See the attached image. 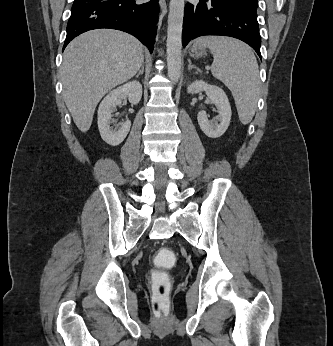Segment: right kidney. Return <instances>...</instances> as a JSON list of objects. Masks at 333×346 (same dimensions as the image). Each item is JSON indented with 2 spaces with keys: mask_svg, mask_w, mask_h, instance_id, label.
<instances>
[{
  "mask_svg": "<svg viewBox=\"0 0 333 346\" xmlns=\"http://www.w3.org/2000/svg\"><path fill=\"white\" fill-rule=\"evenodd\" d=\"M137 105L142 97V85L138 81H130L111 91L100 103L98 109V128L101 138L112 146L119 145L127 136L131 122L125 121L119 129H113L112 113L122 103L124 98Z\"/></svg>",
  "mask_w": 333,
  "mask_h": 346,
  "instance_id": "obj_1",
  "label": "right kidney"
}]
</instances>
